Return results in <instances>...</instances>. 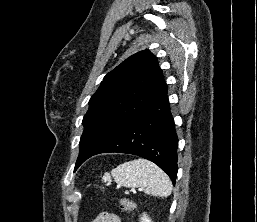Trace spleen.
<instances>
[{
    "label": "spleen",
    "mask_w": 257,
    "mask_h": 222,
    "mask_svg": "<svg viewBox=\"0 0 257 222\" xmlns=\"http://www.w3.org/2000/svg\"><path fill=\"white\" fill-rule=\"evenodd\" d=\"M124 187L140 188L146 195L168 197L172 191L169 177L154 163L146 159L125 162L110 173H105L103 182L111 181Z\"/></svg>",
    "instance_id": "spleen-1"
}]
</instances>
